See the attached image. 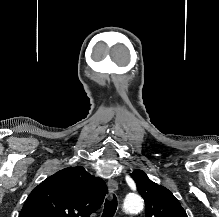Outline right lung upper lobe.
Wrapping results in <instances>:
<instances>
[{
  "label": "right lung upper lobe",
  "instance_id": "right-lung-upper-lobe-1",
  "mask_svg": "<svg viewBox=\"0 0 219 217\" xmlns=\"http://www.w3.org/2000/svg\"><path fill=\"white\" fill-rule=\"evenodd\" d=\"M106 193L105 182L82 166L64 168L33 189L19 217H89Z\"/></svg>",
  "mask_w": 219,
  "mask_h": 217
}]
</instances>
